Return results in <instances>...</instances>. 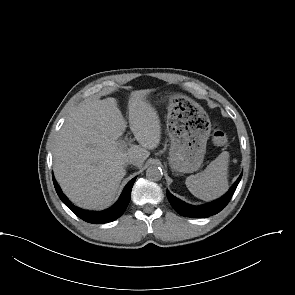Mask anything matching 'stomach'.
Segmentation results:
<instances>
[{"label": "stomach", "mask_w": 295, "mask_h": 295, "mask_svg": "<svg viewBox=\"0 0 295 295\" xmlns=\"http://www.w3.org/2000/svg\"><path fill=\"white\" fill-rule=\"evenodd\" d=\"M168 101L167 131L171 140L168 162L180 173L197 171L204 160L211 122L206 111L181 94L160 93L158 101Z\"/></svg>", "instance_id": "stomach-1"}]
</instances>
